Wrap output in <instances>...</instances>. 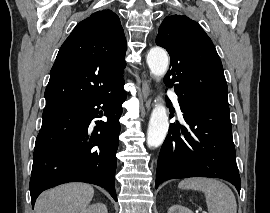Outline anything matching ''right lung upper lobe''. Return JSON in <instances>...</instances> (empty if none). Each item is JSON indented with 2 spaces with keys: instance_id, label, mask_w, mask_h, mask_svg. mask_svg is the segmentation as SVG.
<instances>
[{
  "instance_id": "right-lung-upper-lobe-1",
  "label": "right lung upper lobe",
  "mask_w": 270,
  "mask_h": 213,
  "mask_svg": "<svg viewBox=\"0 0 270 213\" xmlns=\"http://www.w3.org/2000/svg\"><path fill=\"white\" fill-rule=\"evenodd\" d=\"M126 39L111 10L81 21L62 44L45 90L46 106L79 102L124 83Z\"/></svg>"
}]
</instances>
